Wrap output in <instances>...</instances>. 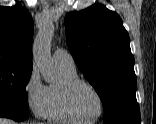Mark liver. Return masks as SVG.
Here are the masks:
<instances>
[{"label":"liver","mask_w":156,"mask_h":124,"mask_svg":"<svg viewBox=\"0 0 156 124\" xmlns=\"http://www.w3.org/2000/svg\"><path fill=\"white\" fill-rule=\"evenodd\" d=\"M0 124H14L12 121L0 118Z\"/></svg>","instance_id":"1"}]
</instances>
